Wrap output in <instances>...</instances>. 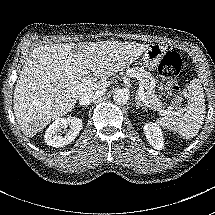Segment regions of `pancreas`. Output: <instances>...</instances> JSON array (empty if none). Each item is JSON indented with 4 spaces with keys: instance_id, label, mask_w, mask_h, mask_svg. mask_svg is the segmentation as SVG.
Returning <instances> with one entry per match:
<instances>
[{
    "instance_id": "cf45deb5",
    "label": "pancreas",
    "mask_w": 215,
    "mask_h": 215,
    "mask_svg": "<svg viewBox=\"0 0 215 215\" xmlns=\"http://www.w3.org/2000/svg\"><path fill=\"white\" fill-rule=\"evenodd\" d=\"M132 70L145 79L144 84L145 86L149 85L148 81L149 72L147 70L140 67H134ZM145 92L147 94V101H149L151 105L154 106L158 111L162 110L163 109L162 102L154 95V91L146 90Z\"/></svg>"
}]
</instances>
